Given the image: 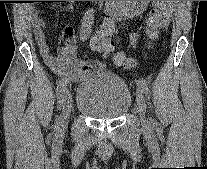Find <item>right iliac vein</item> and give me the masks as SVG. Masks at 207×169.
Segmentation results:
<instances>
[{
	"instance_id": "63e3f726",
	"label": "right iliac vein",
	"mask_w": 207,
	"mask_h": 169,
	"mask_svg": "<svg viewBox=\"0 0 207 169\" xmlns=\"http://www.w3.org/2000/svg\"><path fill=\"white\" fill-rule=\"evenodd\" d=\"M71 108H72V95L70 91L67 90L63 96L62 118L60 121L61 129H65L68 125Z\"/></svg>"
}]
</instances>
